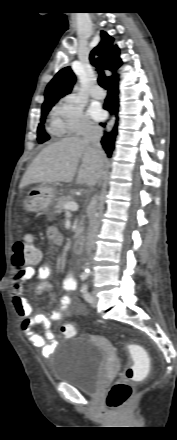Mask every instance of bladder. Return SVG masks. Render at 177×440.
I'll list each match as a JSON object with an SVG mask.
<instances>
[{
    "mask_svg": "<svg viewBox=\"0 0 177 440\" xmlns=\"http://www.w3.org/2000/svg\"><path fill=\"white\" fill-rule=\"evenodd\" d=\"M110 345L104 339L79 337L57 346L50 375L55 382L69 383L78 390L96 395L109 360Z\"/></svg>",
    "mask_w": 177,
    "mask_h": 440,
    "instance_id": "31cf9c89",
    "label": "bladder"
}]
</instances>
